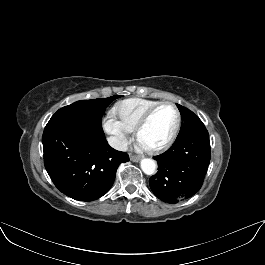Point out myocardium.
<instances>
[{"instance_id": "f54148a6", "label": "myocardium", "mask_w": 265, "mask_h": 265, "mask_svg": "<svg viewBox=\"0 0 265 265\" xmlns=\"http://www.w3.org/2000/svg\"><path fill=\"white\" fill-rule=\"evenodd\" d=\"M164 106L172 107L176 113V123H175L174 129H173L172 133L170 134V136L162 144L155 146V147H147L141 143L140 134H141L142 130L146 127V125L149 123L152 116L156 113V111L159 110L161 107H164ZM181 121H182V117H181L180 110L178 109V107L174 103L169 102V101L160 102V103L156 104L155 106H153L152 108H150L142 116V118L140 119V121L136 125V128H135L136 139L145 151H147L149 153L162 152V151L168 149L173 144V142L175 141V139H176V137L180 131Z\"/></svg>"}]
</instances>
